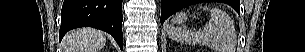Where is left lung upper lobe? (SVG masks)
<instances>
[{"mask_svg":"<svg viewBox=\"0 0 305 52\" xmlns=\"http://www.w3.org/2000/svg\"><path fill=\"white\" fill-rule=\"evenodd\" d=\"M218 2L227 3L231 6L235 5L238 1L237 0H217Z\"/></svg>","mask_w":305,"mask_h":52,"instance_id":"obj_1","label":"left lung upper lobe"}]
</instances>
